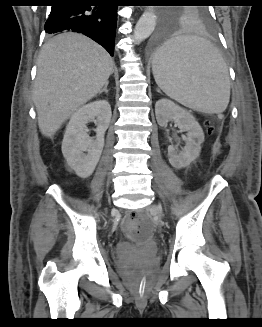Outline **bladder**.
<instances>
[{
	"mask_svg": "<svg viewBox=\"0 0 262 327\" xmlns=\"http://www.w3.org/2000/svg\"><path fill=\"white\" fill-rule=\"evenodd\" d=\"M139 258L136 251H130L126 256L122 257L118 261V266L120 269L131 267Z\"/></svg>",
	"mask_w": 262,
	"mask_h": 327,
	"instance_id": "1",
	"label": "bladder"
}]
</instances>
